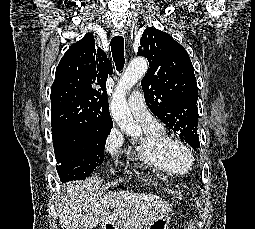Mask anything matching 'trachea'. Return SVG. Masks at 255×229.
Here are the masks:
<instances>
[{
    "mask_svg": "<svg viewBox=\"0 0 255 229\" xmlns=\"http://www.w3.org/2000/svg\"><path fill=\"white\" fill-rule=\"evenodd\" d=\"M112 57L115 62L116 69L120 72L124 68V39L121 35L114 36L111 40Z\"/></svg>",
    "mask_w": 255,
    "mask_h": 229,
    "instance_id": "obj_1",
    "label": "trachea"
}]
</instances>
